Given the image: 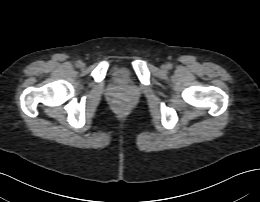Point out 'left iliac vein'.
I'll list each match as a JSON object with an SVG mask.
<instances>
[{
    "instance_id": "1",
    "label": "left iliac vein",
    "mask_w": 260,
    "mask_h": 202,
    "mask_svg": "<svg viewBox=\"0 0 260 202\" xmlns=\"http://www.w3.org/2000/svg\"><path fill=\"white\" fill-rule=\"evenodd\" d=\"M161 69H162V70H166V69H167V66H166V65H162V66H161Z\"/></svg>"
}]
</instances>
